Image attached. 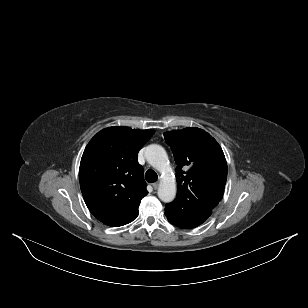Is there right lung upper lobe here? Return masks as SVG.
<instances>
[{"instance_id": "cb5924a9", "label": "right lung upper lobe", "mask_w": 308, "mask_h": 308, "mask_svg": "<svg viewBox=\"0 0 308 308\" xmlns=\"http://www.w3.org/2000/svg\"><path fill=\"white\" fill-rule=\"evenodd\" d=\"M154 132L113 126L98 132L86 146L80 187L88 209L104 224L118 227L138 216L148 191L137 155Z\"/></svg>"}]
</instances>
